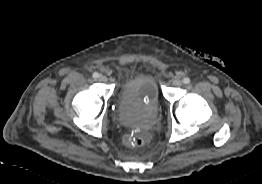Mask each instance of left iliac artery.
<instances>
[{"mask_svg":"<svg viewBox=\"0 0 262 184\" xmlns=\"http://www.w3.org/2000/svg\"><path fill=\"white\" fill-rule=\"evenodd\" d=\"M183 83H184V84H189V83H190V79H189L188 77H185V78L183 79Z\"/></svg>","mask_w":262,"mask_h":184,"instance_id":"obj_1","label":"left iliac artery"}]
</instances>
